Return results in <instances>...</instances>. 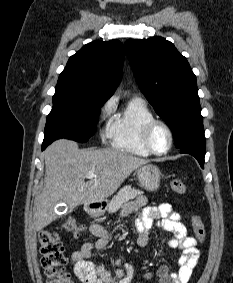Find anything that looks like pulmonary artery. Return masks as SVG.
<instances>
[{
	"label": "pulmonary artery",
	"mask_w": 233,
	"mask_h": 283,
	"mask_svg": "<svg viewBox=\"0 0 233 283\" xmlns=\"http://www.w3.org/2000/svg\"><path fill=\"white\" fill-rule=\"evenodd\" d=\"M134 99H139V100H142L140 97H135Z\"/></svg>",
	"instance_id": "obj_1"
}]
</instances>
